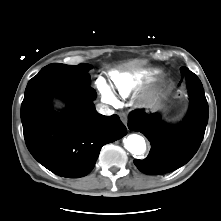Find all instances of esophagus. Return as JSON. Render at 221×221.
Returning <instances> with one entry per match:
<instances>
[{
  "instance_id": "1",
  "label": "esophagus",
  "mask_w": 221,
  "mask_h": 221,
  "mask_svg": "<svg viewBox=\"0 0 221 221\" xmlns=\"http://www.w3.org/2000/svg\"><path fill=\"white\" fill-rule=\"evenodd\" d=\"M120 118L124 124H127V116L125 114H120Z\"/></svg>"
}]
</instances>
